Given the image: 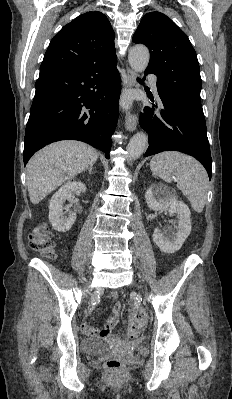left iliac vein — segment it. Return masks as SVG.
Segmentation results:
<instances>
[{"label": "left iliac vein", "instance_id": "left-iliac-vein-1", "mask_svg": "<svg viewBox=\"0 0 232 399\" xmlns=\"http://www.w3.org/2000/svg\"><path fill=\"white\" fill-rule=\"evenodd\" d=\"M140 289L142 290L143 293H146V292H147V289H146V288H143L142 285L140 286Z\"/></svg>", "mask_w": 232, "mask_h": 399}]
</instances>
